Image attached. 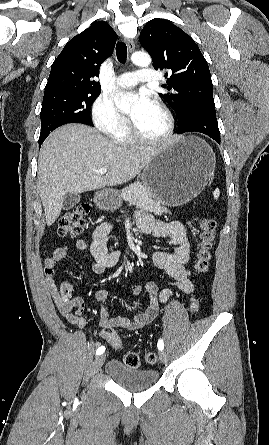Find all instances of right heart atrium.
Here are the masks:
<instances>
[{"mask_svg": "<svg viewBox=\"0 0 269 445\" xmlns=\"http://www.w3.org/2000/svg\"><path fill=\"white\" fill-rule=\"evenodd\" d=\"M91 118L95 127L102 133L114 135L128 128V121L115 106L112 97L98 96L91 107Z\"/></svg>", "mask_w": 269, "mask_h": 445, "instance_id": "d8ad5b80", "label": "right heart atrium"}]
</instances>
